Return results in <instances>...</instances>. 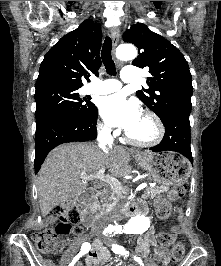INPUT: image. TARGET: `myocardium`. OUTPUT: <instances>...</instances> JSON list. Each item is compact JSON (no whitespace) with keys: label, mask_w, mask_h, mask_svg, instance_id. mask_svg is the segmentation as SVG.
I'll return each instance as SVG.
<instances>
[{"label":"myocardium","mask_w":221,"mask_h":266,"mask_svg":"<svg viewBox=\"0 0 221 266\" xmlns=\"http://www.w3.org/2000/svg\"><path fill=\"white\" fill-rule=\"evenodd\" d=\"M143 117L147 118L151 122L153 129H154L153 135L148 139L139 140V139L133 138L126 131L125 137H126L127 142H129L130 144H133L139 147H149V146H152L158 143L162 139L165 133V128H164V125L161 119L155 113L151 111H146L143 113Z\"/></svg>","instance_id":"myocardium-1"}]
</instances>
